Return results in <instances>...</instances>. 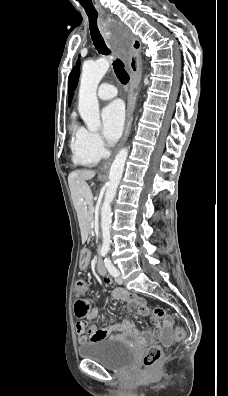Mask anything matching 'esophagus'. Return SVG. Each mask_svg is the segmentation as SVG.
Returning <instances> with one entry per match:
<instances>
[{
	"label": "esophagus",
	"instance_id": "1",
	"mask_svg": "<svg viewBox=\"0 0 228 396\" xmlns=\"http://www.w3.org/2000/svg\"><path fill=\"white\" fill-rule=\"evenodd\" d=\"M101 14H105L103 10H100ZM132 48H133V55L128 61V66H129V73H130V79H131V89L129 92V97H128V107H127V117H126V124H125V130L123 137L115 151V153L123 146V144L126 142L131 126H132V121H133V111L135 107V100H136V93L135 89L138 87L141 75H142V62H141V42L137 37H134L132 40ZM115 153L112 155V157L105 162L101 167V171H106L113 160V157Z\"/></svg>",
	"mask_w": 228,
	"mask_h": 396
}]
</instances>
